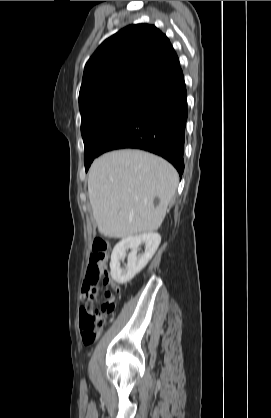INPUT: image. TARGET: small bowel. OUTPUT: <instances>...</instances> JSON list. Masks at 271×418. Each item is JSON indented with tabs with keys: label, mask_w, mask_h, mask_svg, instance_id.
Wrapping results in <instances>:
<instances>
[{
	"label": "small bowel",
	"mask_w": 271,
	"mask_h": 418,
	"mask_svg": "<svg viewBox=\"0 0 271 418\" xmlns=\"http://www.w3.org/2000/svg\"><path fill=\"white\" fill-rule=\"evenodd\" d=\"M107 285L111 286L113 289H115L116 291L119 290L118 286L116 283H114L113 281L109 280L106 282ZM90 288V286L87 283V280H85L83 286H82V293L84 294L86 292V290H88ZM94 303V302H93Z\"/></svg>",
	"instance_id": "obj_1"
}]
</instances>
